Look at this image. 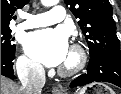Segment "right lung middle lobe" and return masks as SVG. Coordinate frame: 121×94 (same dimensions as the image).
<instances>
[{"label":"right lung middle lobe","mask_w":121,"mask_h":94,"mask_svg":"<svg viewBox=\"0 0 121 94\" xmlns=\"http://www.w3.org/2000/svg\"><path fill=\"white\" fill-rule=\"evenodd\" d=\"M11 30H1V52H15V45L11 44Z\"/></svg>","instance_id":"obj_1"}]
</instances>
